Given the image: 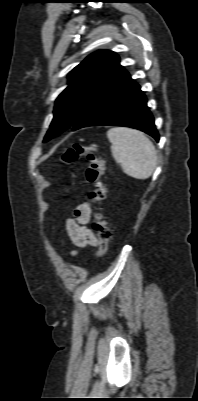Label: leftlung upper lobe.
Listing matches in <instances>:
<instances>
[{
	"label": "left lung upper lobe",
	"instance_id": "5c2ea615",
	"mask_svg": "<svg viewBox=\"0 0 198 401\" xmlns=\"http://www.w3.org/2000/svg\"><path fill=\"white\" fill-rule=\"evenodd\" d=\"M122 69L119 56L100 50L89 55L68 74V87L58 96L54 118L43 142L71 128L90 102Z\"/></svg>",
	"mask_w": 198,
	"mask_h": 401
}]
</instances>
